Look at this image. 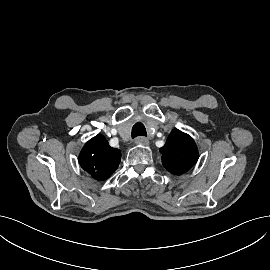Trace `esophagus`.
<instances>
[{"instance_id":"1","label":"esophagus","mask_w":270,"mask_h":270,"mask_svg":"<svg viewBox=\"0 0 270 270\" xmlns=\"http://www.w3.org/2000/svg\"><path fill=\"white\" fill-rule=\"evenodd\" d=\"M135 143L137 145L147 146V145H149V140L146 137H144V136H139V137H137L135 139Z\"/></svg>"}]
</instances>
